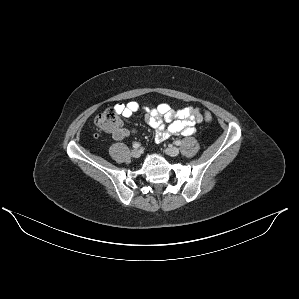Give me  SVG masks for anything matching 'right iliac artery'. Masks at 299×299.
Wrapping results in <instances>:
<instances>
[{
    "instance_id": "1",
    "label": "right iliac artery",
    "mask_w": 299,
    "mask_h": 299,
    "mask_svg": "<svg viewBox=\"0 0 299 299\" xmlns=\"http://www.w3.org/2000/svg\"><path fill=\"white\" fill-rule=\"evenodd\" d=\"M139 147H140V143H134V144H133V148H136V149H137V148H139Z\"/></svg>"
}]
</instances>
